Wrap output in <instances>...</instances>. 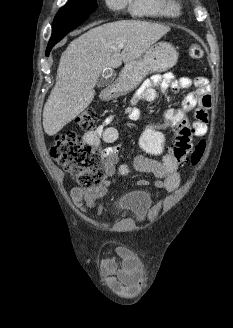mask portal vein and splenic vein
Masks as SVG:
<instances>
[{
	"label": "portal vein and splenic vein",
	"instance_id": "18ae733b",
	"mask_svg": "<svg viewBox=\"0 0 233 328\" xmlns=\"http://www.w3.org/2000/svg\"><path fill=\"white\" fill-rule=\"evenodd\" d=\"M118 48H119V49H123V48H124V44H123V43L119 44V45H118Z\"/></svg>",
	"mask_w": 233,
	"mask_h": 328
}]
</instances>
